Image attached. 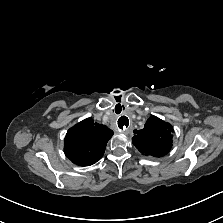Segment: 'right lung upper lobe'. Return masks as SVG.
<instances>
[{
  "mask_svg": "<svg viewBox=\"0 0 223 223\" xmlns=\"http://www.w3.org/2000/svg\"><path fill=\"white\" fill-rule=\"evenodd\" d=\"M112 135L113 131L107 126L87 118L68 130L64 152L74 164L90 166L103 156Z\"/></svg>",
  "mask_w": 223,
  "mask_h": 223,
  "instance_id": "cb5924a9",
  "label": "right lung upper lobe"
}]
</instances>
